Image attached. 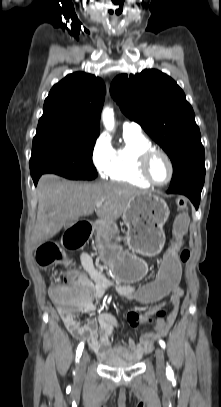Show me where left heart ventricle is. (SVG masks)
<instances>
[{
  "mask_svg": "<svg viewBox=\"0 0 221 407\" xmlns=\"http://www.w3.org/2000/svg\"><path fill=\"white\" fill-rule=\"evenodd\" d=\"M150 174L159 183L166 181L169 177V165L162 155H155L150 162Z\"/></svg>",
  "mask_w": 221,
  "mask_h": 407,
  "instance_id": "left-heart-ventricle-1",
  "label": "left heart ventricle"
}]
</instances>
